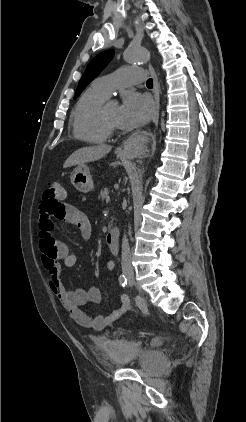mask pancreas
I'll list each match as a JSON object with an SVG mask.
<instances>
[{
    "label": "pancreas",
    "mask_w": 246,
    "mask_h": 422,
    "mask_svg": "<svg viewBox=\"0 0 246 422\" xmlns=\"http://www.w3.org/2000/svg\"><path fill=\"white\" fill-rule=\"evenodd\" d=\"M108 195H109V191H108V189L107 188H104V189H102L101 191H100V193H99V198L101 199V200H104V199H106L107 197H108ZM112 226V224H109V228Z\"/></svg>",
    "instance_id": "pancreas-1"
}]
</instances>
